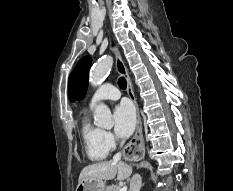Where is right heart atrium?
Returning a JSON list of instances; mask_svg holds the SVG:
<instances>
[{
  "label": "right heart atrium",
  "mask_w": 233,
  "mask_h": 191,
  "mask_svg": "<svg viewBox=\"0 0 233 191\" xmlns=\"http://www.w3.org/2000/svg\"><path fill=\"white\" fill-rule=\"evenodd\" d=\"M103 144L108 151L113 150L117 145V140L114 135L109 131H103L102 134Z\"/></svg>",
  "instance_id": "d8ad5b80"
}]
</instances>
